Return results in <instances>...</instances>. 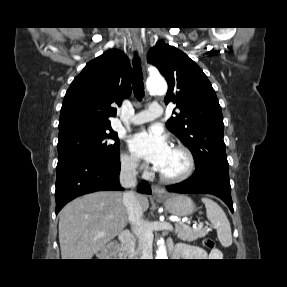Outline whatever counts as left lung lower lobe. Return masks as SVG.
<instances>
[{
    "label": "left lung lower lobe",
    "mask_w": 287,
    "mask_h": 287,
    "mask_svg": "<svg viewBox=\"0 0 287 287\" xmlns=\"http://www.w3.org/2000/svg\"><path fill=\"white\" fill-rule=\"evenodd\" d=\"M166 188L168 191L176 193L215 195L222 199L231 212H233L229 176L222 174H209L199 177L191 176L189 179L179 184L169 185L166 186Z\"/></svg>",
    "instance_id": "1"
}]
</instances>
